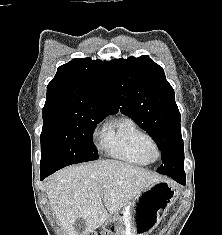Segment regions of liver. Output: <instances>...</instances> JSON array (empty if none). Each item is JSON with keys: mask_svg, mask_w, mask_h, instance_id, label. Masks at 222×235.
<instances>
[{"mask_svg": "<svg viewBox=\"0 0 222 235\" xmlns=\"http://www.w3.org/2000/svg\"><path fill=\"white\" fill-rule=\"evenodd\" d=\"M163 177L117 160H100L59 170L47 181L54 214L66 235H89L144 188ZM83 220L82 232L75 222Z\"/></svg>", "mask_w": 222, "mask_h": 235, "instance_id": "liver-1", "label": "liver"}]
</instances>
